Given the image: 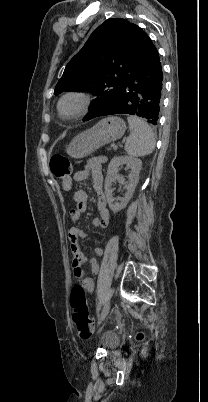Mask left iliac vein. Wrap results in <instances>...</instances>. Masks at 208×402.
I'll list each match as a JSON object with an SVG mask.
<instances>
[{
  "mask_svg": "<svg viewBox=\"0 0 208 402\" xmlns=\"http://www.w3.org/2000/svg\"><path fill=\"white\" fill-rule=\"evenodd\" d=\"M111 304L109 301H107L103 307L102 313H101V320H104L106 316L108 315L110 311Z\"/></svg>",
  "mask_w": 208,
  "mask_h": 402,
  "instance_id": "4c4485c4",
  "label": "left iliac vein"
}]
</instances>
